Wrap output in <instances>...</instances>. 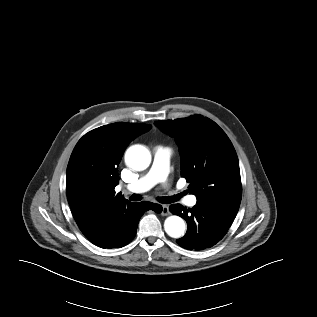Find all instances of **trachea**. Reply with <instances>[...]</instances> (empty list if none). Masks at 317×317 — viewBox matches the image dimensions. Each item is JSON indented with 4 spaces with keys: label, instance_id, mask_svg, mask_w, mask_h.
Segmentation results:
<instances>
[{
    "label": "trachea",
    "instance_id": "trachea-1",
    "mask_svg": "<svg viewBox=\"0 0 317 317\" xmlns=\"http://www.w3.org/2000/svg\"><path fill=\"white\" fill-rule=\"evenodd\" d=\"M183 194L180 195H174V196H164V197H158L157 200L161 203L164 204H169V203H173L176 202L177 200H179V198L182 196ZM131 201H140L142 199V197L138 194H132L129 198Z\"/></svg>",
    "mask_w": 317,
    "mask_h": 317
}]
</instances>
